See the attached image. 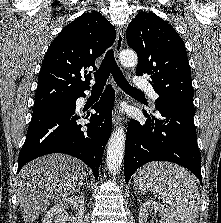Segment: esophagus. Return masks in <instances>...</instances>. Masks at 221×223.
I'll return each instance as SVG.
<instances>
[{
  "instance_id": "esophagus-1",
  "label": "esophagus",
  "mask_w": 221,
  "mask_h": 223,
  "mask_svg": "<svg viewBox=\"0 0 221 223\" xmlns=\"http://www.w3.org/2000/svg\"><path fill=\"white\" fill-rule=\"evenodd\" d=\"M123 42H124V33L123 30L121 28L117 29V38H116V42H115V56L118 57L119 53L122 50L123 47ZM121 122V115H120V111L118 110V108L116 107L114 109L113 112V124L114 126L118 125Z\"/></svg>"
}]
</instances>
